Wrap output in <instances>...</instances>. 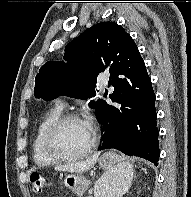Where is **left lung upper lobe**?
Instances as JSON below:
<instances>
[{"mask_svg":"<svg viewBox=\"0 0 191 197\" xmlns=\"http://www.w3.org/2000/svg\"><path fill=\"white\" fill-rule=\"evenodd\" d=\"M65 62H47L35 79L34 93L46 101L60 95L85 99L95 96L97 76L134 72L145 67L139 50L123 27L113 22L98 23L85 30L65 47ZM104 102L91 101L96 115Z\"/></svg>","mask_w":191,"mask_h":197,"instance_id":"left-lung-upper-lobe-1","label":"left lung upper lobe"}]
</instances>
